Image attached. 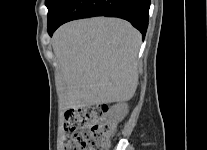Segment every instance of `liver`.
Instances as JSON below:
<instances>
[{
	"label": "liver",
	"mask_w": 207,
	"mask_h": 150,
	"mask_svg": "<svg viewBox=\"0 0 207 150\" xmlns=\"http://www.w3.org/2000/svg\"><path fill=\"white\" fill-rule=\"evenodd\" d=\"M141 34L118 18L95 17L64 24L52 46L61 68L65 109L130 100L138 85Z\"/></svg>",
	"instance_id": "1"
}]
</instances>
